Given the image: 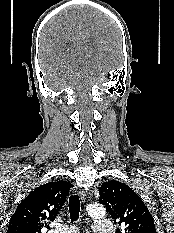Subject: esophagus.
Wrapping results in <instances>:
<instances>
[{"label": "esophagus", "instance_id": "1", "mask_svg": "<svg viewBox=\"0 0 174 233\" xmlns=\"http://www.w3.org/2000/svg\"><path fill=\"white\" fill-rule=\"evenodd\" d=\"M79 196H80V199L82 200V202H85V201H86V198H87V191H85V190H80V191H79Z\"/></svg>", "mask_w": 174, "mask_h": 233}]
</instances>
